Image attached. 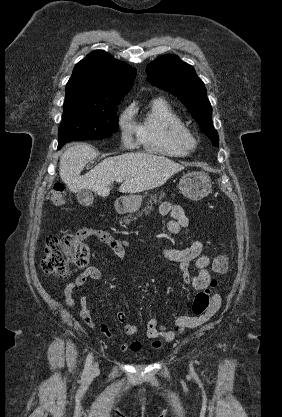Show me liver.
Returning a JSON list of instances; mask_svg holds the SVG:
<instances>
[{
    "mask_svg": "<svg viewBox=\"0 0 282 417\" xmlns=\"http://www.w3.org/2000/svg\"><path fill=\"white\" fill-rule=\"evenodd\" d=\"M95 150L89 144H75L63 152L59 162V174L71 192L81 188L94 190L99 196H108L116 178H123L120 192H142L162 186L170 176L185 166L167 156L148 152H125L119 156L104 158L86 174H81L85 164L92 160Z\"/></svg>",
    "mask_w": 282,
    "mask_h": 417,
    "instance_id": "1",
    "label": "liver"
}]
</instances>
